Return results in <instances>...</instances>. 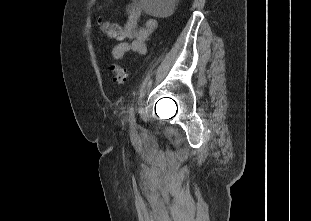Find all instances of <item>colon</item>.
I'll use <instances>...</instances> for the list:
<instances>
[{
	"label": "colon",
	"mask_w": 311,
	"mask_h": 221,
	"mask_svg": "<svg viewBox=\"0 0 311 221\" xmlns=\"http://www.w3.org/2000/svg\"><path fill=\"white\" fill-rule=\"evenodd\" d=\"M101 31L110 39L116 40V41H121L122 36L118 32L117 25L116 23L106 20L101 23L100 25ZM111 73H112V78H113V84L115 86H122L126 83L128 79V73L127 71L122 68L119 65H112L110 67Z\"/></svg>",
	"instance_id": "colon-1"
}]
</instances>
